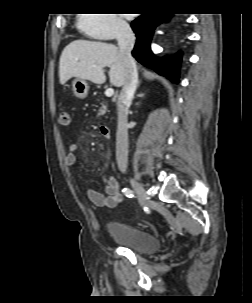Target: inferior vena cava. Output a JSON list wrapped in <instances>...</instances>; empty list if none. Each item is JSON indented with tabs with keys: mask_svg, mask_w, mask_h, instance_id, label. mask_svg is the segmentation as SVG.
<instances>
[{
	"mask_svg": "<svg viewBox=\"0 0 252 303\" xmlns=\"http://www.w3.org/2000/svg\"><path fill=\"white\" fill-rule=\"evenodd\" d=\"M117 41L120 57L126 69V79L117 101L118 125L116 133V160L121 172H126L128 164V109L138 85V72L131 51L135 36L126 22L118 24Z\"/></svg>",
	"mask_w": 252,
	"mask_h": 303,
	"instance_id": "1",
	"label": "inferior vena cava"
}]
</instances>
